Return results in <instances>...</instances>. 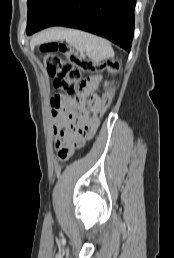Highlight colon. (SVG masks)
Segmentation results:
<instances>
[{"label": "colon", "instance_id": "obj_1", "mask_svg": "<svg viewBox=\"0 0 174 258\" xmlns=\"http://www.w3.org/2000/svg\"><path fill=\"white\" fill-rule=\"evenodd\" d=\"M42 60L48 75L53 78L54 87L68 96H75L77 87L85 72L96 73L106 70L113 78L119 70V62L108 59L94 62L79 55L71 46L63 43H48L41 46ZM115 90V80L104 93L100 104V115L110 108Z\"/></svg>", "mask_w": 174, "mask_h": 258}]
</instances>
